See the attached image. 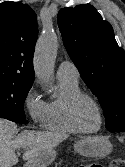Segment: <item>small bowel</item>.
Here are the masks:
<instances>
[{"label":"small bowel","mask_w":125,"mask_h":167,"mask_svg":"<svg viewBox=\"0 0 125 167\" xmlns=\"http://www.w3.org/2000/svg\"><path fill=\"white\" fill-rule=\"evenodd\" d=\"M91 167H102V166H100V165H95V164H93V165H90Z\"/></svg>","instance_id":"1"}]
</instances>
